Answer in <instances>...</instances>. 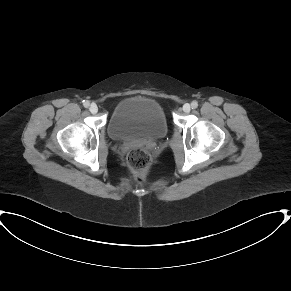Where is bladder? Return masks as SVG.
Wrapping results in <instances>:
<instances>
[{
  "instance_id": "bladder-1",
  "label": "bladder",
  "mask_w": 291,
  "mask_h": 291,
  "mask_svg": "<svg viewBox=\"0 0 291 291\" xmlns=\"http://www.w3.org/2000/svg\"><path fill=\"white\" fill-rule=\"evenodd\" d=\"M107 131L121 142L156 141L166 136L168 123L161 105L146 96L122 99L114 108Z\"/></svg>"
}]
</instances>
